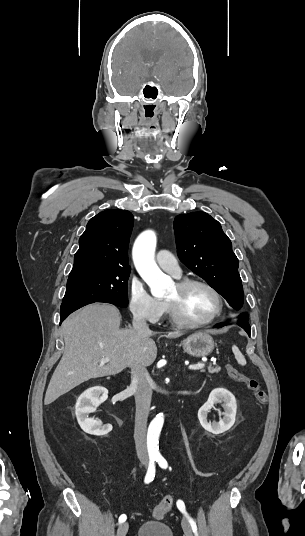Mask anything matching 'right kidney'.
<instances>
[{
    "label": "right kidney",
    "mask_w": 305,
    "mask_h": 536,
    "mask_svg": "<svg viewBox=\"0 0 305 536\" xmlns=\"http://www.w3.org/2000/svg\"><path fill=\"white\" fill-rule=\"evenodd\" d=\"M100 398H107V390L95 386V388H89L84 394H81L76 404L78 424L86 434H92V436H101V434H105L106 432L104 428H101L99 422L88 418V414L95 412V406ZM91 402H95V406H92Z\"/></svg>",
    "instance_id": "right-kidney-1"
}]
</instances>
